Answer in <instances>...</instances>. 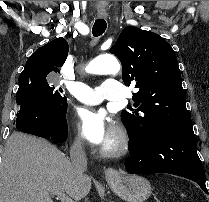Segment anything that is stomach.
<instances>
[{
	"mask_svg": "<svg viewBox=\"0 0 209 202\" xmlns=\"http://www.w3.org/2000/svg\"><path fill=\"white\" fill-rule=\"evenodd\" d=\"M112 191L127 202H144L151 195V185L147 179L138 175L118 174L107 178Z\"/></svg>",
	"mask_w": 209,
	"mask_h": 202,
	"instance_id": "1",
	"label": "stomach"
}]
</instances>
